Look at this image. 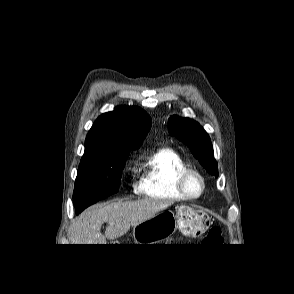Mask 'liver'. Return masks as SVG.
Instances as JSON below:
<instances>
[{
	"mask_svg": "<svg viewBox=\"0 0 294 294\" xmlns=\"http://www.w3.org/2000/svg\"><path fill=\"white\" fill-rule=\"evenodd\" d=\"M171 202L145 198L138 201H118L97 205L83 211L69 228L71 244H106V239H117L157 213L167 209ZM107 223L105 234L101 226Z\"/></svg>",
	"mask_w": 294,
	"mask_h": 294,
	"instance_id": "liver-1",
	"label": "liver"
}]
</instances>
